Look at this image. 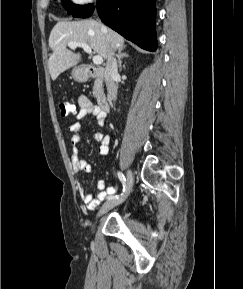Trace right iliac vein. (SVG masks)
<instances>
[{
    "mask_svg": "<svg viewBox=\"0 0 243 289\" xmlns=\"http://www.w3.org/2000/svg\"><path fill=\"white\" fill-rule=\"evenodd\" d=\"M127 190L125 192L124 195H122L121 197L118 198H112L109 199L106 203L103 204V206L101 207L97 217H100L101 215L105 214L106 212H108L109 210H111L112 208L118 206L119 204H121L122 202H124V200L127 198L132 185H133V174L130 170H128L127 172Z\"/></svg>",
    "mask_w": 243,
    "mask_h": 289,
    "instance_id": "obj_1",
    "label": "right iliac vein"
}]
</instances>
